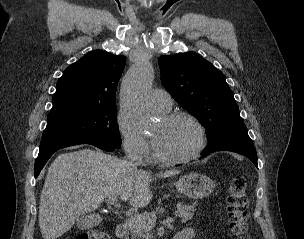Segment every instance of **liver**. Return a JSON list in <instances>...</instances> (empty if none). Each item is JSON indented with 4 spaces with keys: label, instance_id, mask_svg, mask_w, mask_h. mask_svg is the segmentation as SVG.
I'll return each mask as SVG.
<instances>
[{
    "label": "liver",
    "instance_id": "1",
    "mask_svg": "<svg viewBox=\"0 0 304 239\" xmlns=\"http://www.w3.org/2000/svg\"><path fill=\"white\" fill-rule=\"evenodd\" d=\"M177 174L179 171L168 170L157 176ZM150 182V172L131 168L126 160L100 150L60 154L48 169L40 197L38 220L43 239L59 238L113 195L135 208L147 206L153 197Z\"/></svg>",
    "mask_w": 304,
    "mask_h": 239
}]
</instances>
